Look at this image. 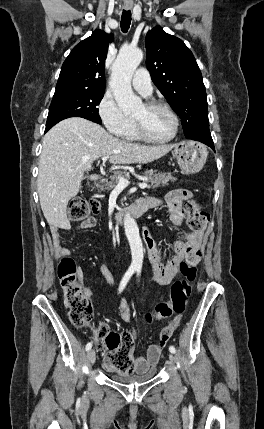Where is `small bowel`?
<instances>
[{
    "label": "small bowel",
    "mask_w": 264,
    "mask_h": 429,
    "mask_svg": "<svg viewBox=\"0 0 264 429\" xmlns=\"http://www.w3.org/2000/svg\"><path fill=\"white\" fill-rule=\"evenodd\" d=\"M192 198L193 195L190 191L180 189L168 193L164 200L149 197L139 200L137 203H145L149 206V209H155L163 205H167L172 212L170 216V223L174 227H179L182 225L184 220L183 207L185 204L191 201ZM95 225L96 219L90 217L84 220L78 226V228L90 229ZM142 237L148 249V259L153 272V278L162 285L169 284L172 281V279L178 273L179 264L183 260L184 256L187 254L188 250L191 248H199L202 241L201 233L185 231L182 239L175 241L169 247V251L172 253V255L169 258L165 259V251L157 245L148 229L143 230ZM52 240L55 250L59 254H68V249L62 244L59 229L55 228L52 230ZM101 272L110 280V274L105 268L101 267ZM78 280L83 286L84 293L89 296L91 294V288L88 284H84V275L81 270H78ZM120 316L121 319L125 322H129L131 320V308L124 299H121L120 302ZM179 321L180 315H176L171 324L161 331V333H169L166 338L165 344L178 326ZM129 334L134 339L137 336V330L134 328ZM165 344H152L148 347L145 356H138L134 358L132 372L142 374L147 372L150 368L154 367L159 360L161 351L164 348ZM104 368L108 371L105 359Z\"/></svg>",
    "instance_id": "obj_1"
}]
</instances>
